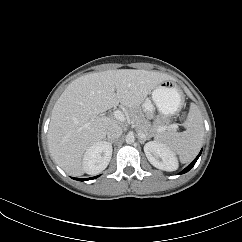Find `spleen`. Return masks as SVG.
Here are the masks:
<instances>
[{"label": "spleen", "mask_w": 242, "mask_h": 242, "mask_svg": "<svg viewBox=\"0 0 242 242\" xmlns=\"http://www.w3.org/2000/svg\"><path fill=\"white\" fill-rule=\"evenodd\" d=\"M185 126L184 132H166L156 139V142L162 143L179 155L182 163L190 162L197 155L204 138L202 116L198 107L193 103L190 105Z\"/></svg>", "instance_id": "1"}]
</instances>
